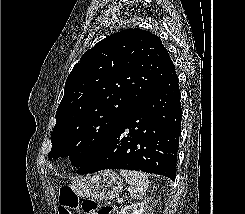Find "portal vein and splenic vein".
Instances as JSON below:
<instances>
[{"mask_svg": "<svg viewBox=\"0 0 245 214\" xmlns=\"http://www.w3.org/2000/svg\"><path fill=\"white\" fill-rule=\"evenodd\" d=\"M124 201V199L123 198H118V200H117V202L120 204V203H122Z\"/></svg>", "mask_w": 245, "mask_h": 214, "instance_id": "portal-vein-and-splenic-vein-1", "label": "portal vein and splenic vein"}]
</instances>
